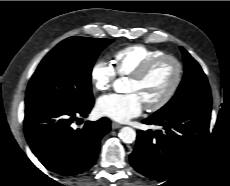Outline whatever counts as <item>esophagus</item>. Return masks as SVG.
Returning a JSON list of instances; mask_svg holds the SVG:
<instances>
[{
  "label": "esophagus",
  "instance_id": "34e87169",
  "mask_svg": "<svg viewBox=\"0 0 230 186\" xmlns=\"http://www.w3.org/2000/svg\"><path fill=\"white\" fill-rule=\"evenodd\" d=\"M111 127L112 129H118V128H121L122 125L116 122H112Z\"/></svg>",
  "mask_w": 230,
  "mask_h": 186
}]
</instances>
